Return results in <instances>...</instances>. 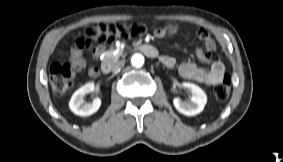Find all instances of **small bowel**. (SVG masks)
Instances as JSON below:
<instances>
[{
    "mask_svg": "<svg viewBox=\"0 0 283 162\" xmlns=\"http://www.w3.org/2000/svg\"><path fill=\"white\" fill-rule=\"evenodd\" d=\"M177 31L178 26L176 24H168L165 27L155 29L154 35L157 38H163L167 35H173ZM198 34L204 42L205 49H197L196 56L200 61L209 63L210 68H202L194 62L186 61L179 66V73L184 78L195 80L205 85H216L220 83L225 76L224 64L221 60L214 57L216 45L208 32L201 29ZM85 49L91 51L93 58H99L100 56L106 55L104 46L92 47L88 40L82 38L77 39L71 47L69 57L71 66L77 71H81L87 67V62L83 56V51ZM161 61L168 67H173L175 65V59L168 55L162 56ZM88 74L92 79H97L102 76L103 71L101 68L91 65L88 67Z\"/></svg>",
    "mask_w": 283,
    "mask_h": 162,
    "instance_id": "small-bowel-1",
    "label": "small bowel"
}]
</instances>
